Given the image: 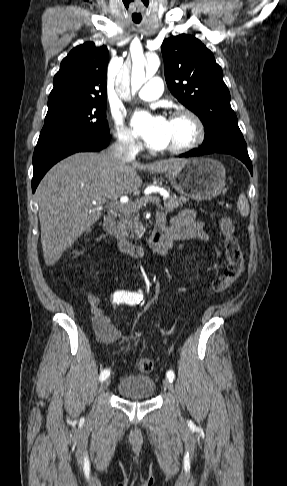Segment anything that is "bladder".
<instances>
[{
  "label": "bladder",
  "instance_id": "obj_1",
  "mask_svg": "<svg viewBox=\"0 0 287 486\" xmlns=\"http://www.w3.org/2000/svg\"><path fill=\"white\" fill-rule=\"evenodd\" d=\"M117 391L127 398L148 399L155 394L156 384L151 376L130 374L120 378Z\"/></svg>",
  "mask_w": 287,
  "mask_h": 486
}]
</instances>
